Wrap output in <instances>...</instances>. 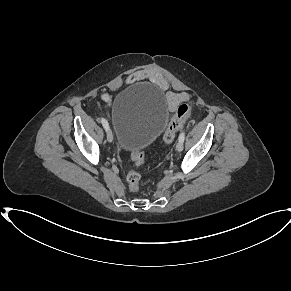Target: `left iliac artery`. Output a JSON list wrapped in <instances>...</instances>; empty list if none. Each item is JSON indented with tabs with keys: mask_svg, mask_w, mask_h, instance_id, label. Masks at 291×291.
Masks as SVG:
<instances>
[{
	"mask_svg": "<svg viewBox=\"0 0 291 291\" xmlns=\"http://www.w3.org/2000/svg\"><path fill=\"white\" fill-rule=\"evenodd\" d=\"M184 139H185V132L183 131L179 135V140L184 141Z\"/></svg>",
	"mask_w": 291,
	"mask_h": 291,
	"instance_id": "left-iliac-artery-1",
	"label": "left iliac artery"
}]
</instances>
